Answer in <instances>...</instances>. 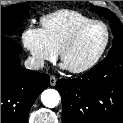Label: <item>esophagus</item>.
I'll return each mask as SVG.
<instances>
[{
	"mask_svg": "<svg viewBox=\"0 0 123 123\" xmlns=\"http://www.w3.org/2000/svg\"><path fill=\"white\" fill-rule=\"evenodd\" d=\"M56 82H57V79L55 76H50V85L51 86H55L56 85Z\"/></svg>",
	"mask_w": 123,
	"mask_h": 123,
	"instance_id": "obj_1",
	"label": "esophagus"
}]
</instances>
